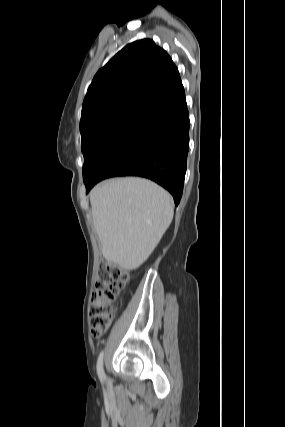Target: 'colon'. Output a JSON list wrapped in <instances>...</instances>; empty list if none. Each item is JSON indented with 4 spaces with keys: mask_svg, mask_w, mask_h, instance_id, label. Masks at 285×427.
<instances>
[{
    "mask_svg": "<svg viewBox=\"0 0 285 427\" xmlns=\"http://www.w3.org/2000/svg\"><path fill=\"white\" fill-rule=\"evenodd\" d=\"M130 280L126 270L113 263L98 267L91 295L90 328L94 336L105 333L113 319L112 303Z\"/></svg>",
    "mask_w": 285,
    "mask_h": 427,
    "instance_id": "5ec220e1",
    "label": "colon"
}]
</instances>
